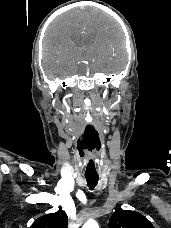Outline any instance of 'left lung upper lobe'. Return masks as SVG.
Wrapping results in <instances>:
<instances>
[{
    "label": "left lung upper lobe",
    "instance_id": "obj_1",
    "mask_svg": "<svg viewBox=\"0 0 171 228\" xmlns=\"http://www.w3.org/2000/svg\"><path fill=\"white\" fill-rule=\"evenodd\" d=\"M110 228H154L151 222L138 212L130 210H117L113 213Z\"/></svg>",
    "mask_w": 171,
    "mask_h": 228
}]
</instances>
